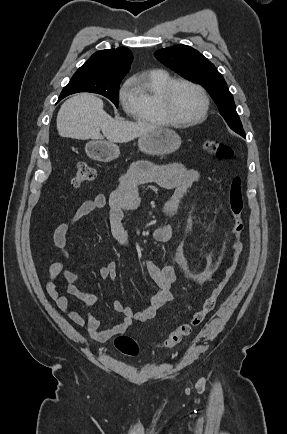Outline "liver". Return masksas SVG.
<instances>
[{"mask_svg": "<svg viewBox=\"0 0 287 434\" xmlns=\"http://www.w3.org/2000/svg\"><path fill=\"white\" fill-rule=\"evenodd\" d=\"M56 121L61 137L79 140H103L106 137L110 142L119 143L129 142L158 128L144 121L114 120L104 111L103 101L90 93H79L66 100Z\"/></svg>", "mask_w": 287, "mask_h": 434, "instance_id": "liver-1", "label": "liver"}]
</instances>
